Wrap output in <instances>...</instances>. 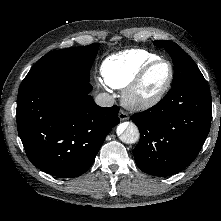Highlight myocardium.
<instances>
[{"instance_id": "myocardium-1", "label": "myocardium", "mask_w": 221, "mask_h": 221, "mask_svg": "<svg viewBox=\"0 0 221 221\" xmlns=\"http://www.w3.org/2000/svg\"><path fill=\"white\" fill-rule=\"evenodd\" d=\"M159 63H165L168 66L169 73L164 85L154 94L144 96L140 93V89L144 79L150 70ZM174 78V69L170 61L164 58H157L150 61L136 74L133 80L125 87L123 92V103L128 108L134 110H144L158 104L169 91Z\"/></svg>"}]
</instances>
